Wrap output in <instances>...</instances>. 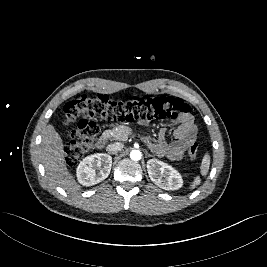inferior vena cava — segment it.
Masks as SVG:
<instances>
[{
  "mask_svg": "<svg viewBox=\"0 0 267 267\" xmlns=\"http://www.w3.org/2000/svg\"><path fill=\"white\" fill-rule=\"evenodd\" d=\"M123 147H124V145L122 143L114 142V143L109 144L106 147V151L110 154H114V153H117L118 151L122 150Z\"/></svg>",
  "mask_w": 267,
  "mask_h": 267,
  "instance_id": "inferior-vena-cava-1",
  "label": "inferior vena cava"
}]
</instances>
